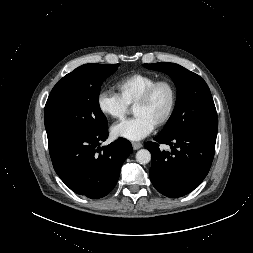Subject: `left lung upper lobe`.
Returning a JSON list of instances; mask_svg holds the SVG:
<instances>
[{
    "label": "left lung upper lobe",
    "mask_w": 253,
    "mask_h": 253,
    "mask_svg": "<svg viewBox=\"0 0 253 253\" xmlns=\"http://www.w3.org/2000/svg\"><path fill=\"white\" fill-rule=\"evenodd\" d=\"M144 67L168 74L177 88L174 112L160 136L171 138L194 131L217 135L216 108L203 78L175 63L144 64Z\"/></svg>",
    "instance_id": "5c2ea615"
}]
</instances>
